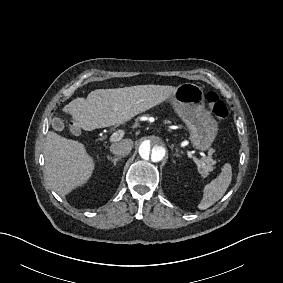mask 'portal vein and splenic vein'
Masks as SVG:
<instances>
[{
	"mask_svg": "<svg viewBox=\"0 0 283 283\" xmlns=\"http://www.w3.org/2000/svg\"><path fill=\"white\" fill-rule=\"evenodd\" d=\"M122 138V135L120 134V131H118V132H115V133H113L112 135H111V137H110V141H118V140H120ZM187 155L190 157V158H193V161L195 162V164H200V159H198V158H196V157H194V156H192V153L190 152V151H187ZM208 181L210 180L209 179V177L208 176H206L205 177ZM212 179L214 178L213 176L211 177Z\"/></svg>",
	"mask_w": 283,
	"mask_h": 283,
	"instance_id": "18ae733b",
	"label": "portal vein and splenic vein"
}]
</instances>
